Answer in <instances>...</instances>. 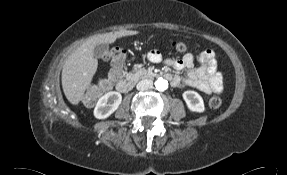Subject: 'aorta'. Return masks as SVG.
<instances>
[{
	"label": "aorta",
	"mask_w": 287,
	"mask_h": 175,
	"mask_svg": "<svg viewBox=\"0 0 287 175\" xmlns=\"http://www.w3.org/2000/svg\"><path fill=\"white\" fill-rule=\"evenodd\" d=\"M168 82L167 80H164L163 78H160L156 82V89L159 91H165L168 89Z\"/></svg>",
	"instance_id": "aorta-1"
}]
</instances>
